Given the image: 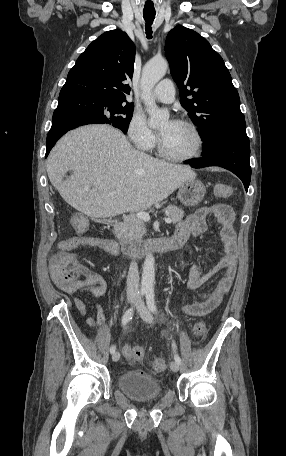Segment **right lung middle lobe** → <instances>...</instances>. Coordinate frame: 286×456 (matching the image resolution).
Instances as JSON below:
<instances>
[{"mask_svg": "<svg viewBox=\"0 0 286 456\" xmlns=\"http://www.w3.org/2000/svg\"><path fill=\"white\" fill-rule=\"evenodd\" d=\"M133 108V103L110 101L92 96V101L82 109V125L110 124L126 133L133 115Z\"/></svg>", "mask_w": 286, "mask_h": 456, "instance_id": "1", "label": "right lung middle lobe"}]
</instances>
